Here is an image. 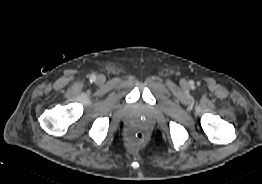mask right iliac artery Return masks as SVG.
Segmentation results:
<instances>
[{
    "instance_id": "right-iliac-artery-1",
    "label": "right iliac artery",
    "mask_w": 262,
    "mask_h": 184,
    "mask_svg": "<svg viewBox=\"0 0 262 184\" xmlns=\"http://www.w3.org/2000/svg\"><path fill=\"white\" fill-rule=\"evenodd\" d=\"M95 80H96V76H95V75H91V76H90V81H91V82H94Z\"/></svg>"
}]
</instances>
